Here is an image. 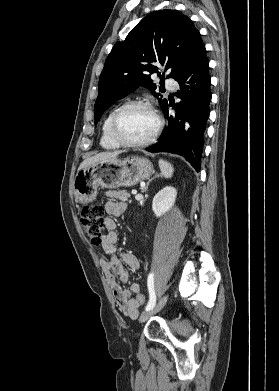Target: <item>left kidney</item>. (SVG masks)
Wrapping results in <instances>:
<instances>
[{
	"instance_id": "1",
	"label": "left kidney",
	"mask_w": 279,
	"mask_h": 391,
	"mask_svg": "<svg viewBox=\"0 0 279 391\" xmlns=\"http://www.w3.org/2000/svg\"><path fill=\"white\" fill-rule=\"evenodd\" d=\"M177 191L174 187L166 186L153 198L152 209L156 217H160L170 210L174 205Z\"/></svg>"
}]
</instances>
